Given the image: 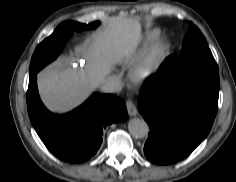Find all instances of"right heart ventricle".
<instances>
[{"instance_id": "obj_1", "label": "right heart ventricle", "mask_w": 236, "mask_h": 182, "mask_svg": "<svg viewBox=\"0 0 236 182\" xmlns=\"http://www.w3.org/2000/svg\"><path fill=\"white\" fill-rule=\"evenodd\" d=\"M158 32L155 30L148 31L144 33L141 37L138 45L135 47L132 55L127 60V63H133L139 59L151 46L154 40L157 38Z\"/></svg>"}]
</instances>
